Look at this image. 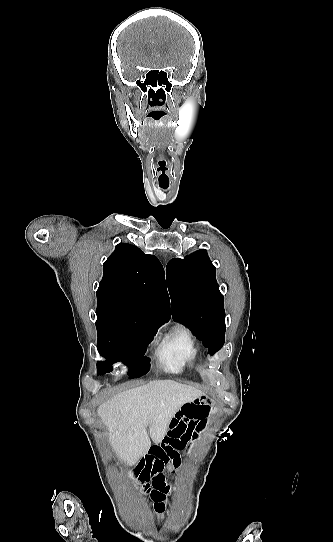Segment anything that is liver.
<instances>
[{
    "instance_id": "liver-1",
    "label": "liver",
    "mask_w": 333,
    "mask_h": 542,
    "mask_svg": "<svg viewBox=\"0 0 333 542\" xmlns=\"http://www.w3.org/2000/svg\"><path fill=\"white\" fill-rule=\"evenodd\" d=\"M199 396L203 392L192 386L174 380H154L120 392L99 406L97 414L118 458L127 466H134L151 448L150 438L154 444H161L176 412Z\"/></svg>"
}]
</instances>
